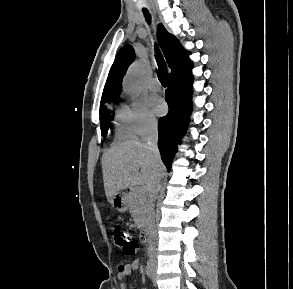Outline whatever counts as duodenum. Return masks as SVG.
Wrapping results in <instances>:
<instances>
[{"instance_id":"duodenum-1","label":"duodenum","mask_w":293,"mask_h":289,"mask_svg":"<svg viewBox=\"0 0 293 289\" xmlns=\"http://www.w3.org/2000/svg\"><path fill=\"white\" fill-rule=\"evenodd\" d=\"M141 241L143 244H147L149 241V229L145 226L141 231Z\"/></svg>"}]
</instances>
